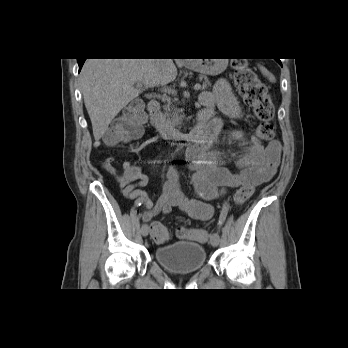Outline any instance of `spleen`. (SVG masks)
<instances>
[{
	"label": "spleen",
	"instance_id": "obj_1",
	"mask_svg": "<svg viewBox=\"0 0 348 348\" xmlns=\"http://www.w3.org/2000/svg\"><path fill=\"white\" fill-rule=\"evenodd\" d=\"M260 70L262 72L263 75H265L266 77H268V79L271 82H275V78L273 75H271L264 67H260Z\"/></svg>",
	"mask_w": 348,
	"mask_h": 348
}]
</instances>
